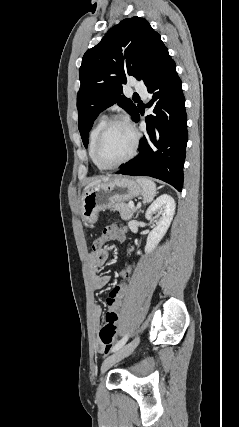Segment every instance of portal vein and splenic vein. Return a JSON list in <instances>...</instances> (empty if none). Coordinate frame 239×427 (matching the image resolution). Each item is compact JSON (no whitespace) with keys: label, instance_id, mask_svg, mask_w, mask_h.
Segmentation results:
<instances>
[{"label":"portal vein and splenic vein","instance_id":"18ae733b","mask_svg":"<svg viewBox=\"0 0 239 427\" xmlns=\"http://www.w3.org/2000/svg\"><path fill=\"white\" fill-rule=\"evenodd\" d=\"M129 207H130V208H132V209H133V208H135L134 203H133V202H130V203H129Z\"/></svg>","mask_w":239,"mask_h":427}]
</instances>
